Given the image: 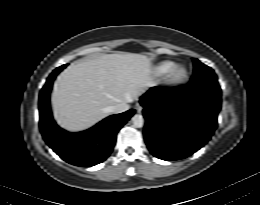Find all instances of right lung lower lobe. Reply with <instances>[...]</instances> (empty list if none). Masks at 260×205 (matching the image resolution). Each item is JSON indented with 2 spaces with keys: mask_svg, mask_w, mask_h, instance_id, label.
<instances>
[{
  "mask_svg": "<svg viewBox=\"0 0 260 205\" xmlns=\"http://www.w3.org/2000/svg\"><path fill=\"white\" fill-rule=\"evenodd\" d=\"M65 66L51 73L40 92V130L45 142L63 160L81 167L94 166L110 155L117 132L134 114V110L109 116L89 130L79 133H69L59 128L50 110V91L56 75Z\"/></svg>",
  "mask_w": 260,
  "mask_h": 205,
  "instance_id": "98d812e1",
  "label": "right lung lower lobe"
}]
</instances>
